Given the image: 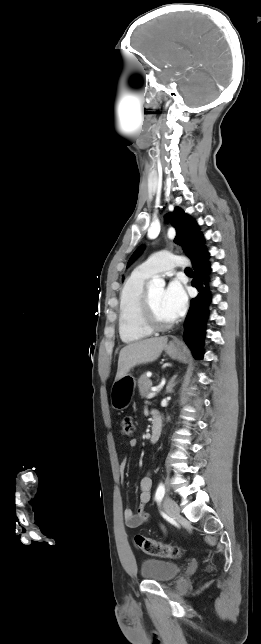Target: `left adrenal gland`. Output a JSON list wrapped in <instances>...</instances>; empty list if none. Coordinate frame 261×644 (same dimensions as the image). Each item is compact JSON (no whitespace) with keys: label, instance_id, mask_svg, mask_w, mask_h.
Returning <instances> with one entry per match:
<instances>
[{"label":"left adrenal gland","instance_id":"obj_1","mask_svg":"<svg viewBox=\"0 0 261 644\" xmlns=\"http://www.w3.org/2000/svg\"><path fill=\"white\" fill-rule=\"evenodd\" d=\"M176 377H177V375H174V376L170 379V381H169V383H168V385H167V387H166V392H167V393H170V392L172 391L173 387L177 384V382H175Z\"/></svg>","mask_w":261,"mask_h":644}]
</instances>
